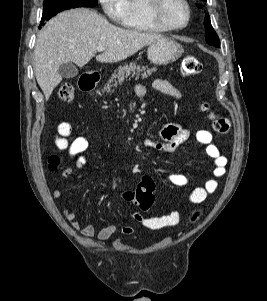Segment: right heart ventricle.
<instances>
[{
	"mask_svg": "<svg viewBox=\"0 0 267 301\" xmlns=\"http://www.w3.org/2000/svg\"><path fill=\"white\" fill-rule=\"evenodd\" d=\"M150 0H125L126 16L123 26L139 32H165L150 12Z\"/></svg>",
	"mask_w": 267,
	"mask_h": 301,
	"instance_id": "1",
	"label": "right heart ventricle"
}]
</instances>
